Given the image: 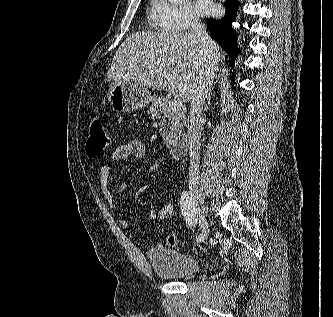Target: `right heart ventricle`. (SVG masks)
I'll return each mask as SVG.
<instances>
[{
  "label": "right heart ventricle",
  "instance_id": "right-heart-ventricle-1",
  "mask_svg": "<svg viewBox=\"0 0 333 317\" xmlns=\"http://www.w3.org/2000/svg\"><path fill=\"white\" fill-rule=\"evenodd\" d=\"M150 15H151L152 17H154V15H155V1L152 2Z\"/></svg>",
  "mask_w": 333,
  "mask_h": 317
}]
</instances>
